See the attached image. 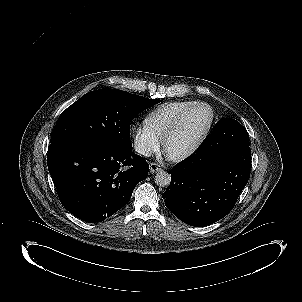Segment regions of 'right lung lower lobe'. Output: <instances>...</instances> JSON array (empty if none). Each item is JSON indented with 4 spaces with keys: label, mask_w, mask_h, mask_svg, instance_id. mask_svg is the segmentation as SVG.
<instances>
[{
    "label": "right lung lower lobe",
    "mask_w": 302,
    "mask_h": 302,
    "mask_svg": "<svg viewBox=\"0 0 302 302\" xmlns=\"http://www.w3.org/2000/svg\"><path fill=\"white\" fill-rule=\"evenodd\" d=\"M47 164L62 205L90 223L125 206L149 171L145 159L131 148L99 139L50 144Z\"/></svg>",
    "instance_id": "right-lung-lower-lobe-1"
}]
</instances>
